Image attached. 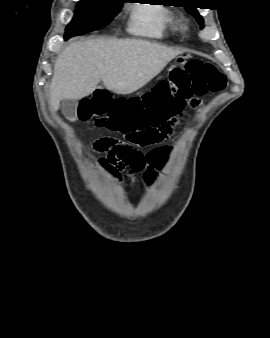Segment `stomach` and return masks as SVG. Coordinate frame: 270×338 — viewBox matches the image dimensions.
Returning <instances> with one entry per match:
<instances>
[{
	"label": "stomach",
	"instance_id": "1",
	"mask_svg": "<svg viewBox=\"0 0 270 338\" xmlns=\"http://www.w3.org/2000/svg\"><path fill=\"white\" fill-rule=\"evenodd\" d=\"M186 60L187 57L180 55L175 58L174 63L175 65H184L186 63Z\"/></svg>",
	"mask_w": 270,
	"mask_h": 338
}]
</instances>
